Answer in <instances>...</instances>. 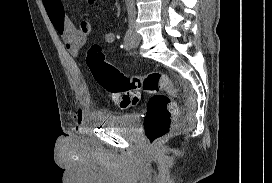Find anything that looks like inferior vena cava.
<instances>
[{
  "label": "inferior vena cava",
  "mask_w": 272,
  "mask_h": 183,
  "mask_svg": "<svg viewBox=\"0 0 272 183\" xmlns=\"http://www.w3.org/2000/svg\"><path fill=\"white\" fill-rule=\"evenodd\" d=\"M126 5L128 11L129 25L133 26L136 15L134 0H126Z\"/></svg>",
  "instance_id": "obj_1"
}]
</instances>
